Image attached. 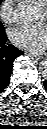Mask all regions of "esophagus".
Segmentation results:
<instances>
[{"mask_svg":"<svg viewBox=\"0 0 47 129\" xmlns=\"http://www.w3.org/2000/svg\"><path fill=\"white\" fill-rule=\"evenodd\" d=\"M28 55L31 57V59L40 60L42 57L39 55L28 53Z\"/></svg>","mask_w":47,"mask_h":129,"instance_id":"obj_1","label":"esophagus"}]
</instances>
